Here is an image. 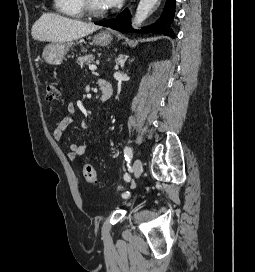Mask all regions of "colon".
Masks as SVG:
<instances>
[{"instance_id":"1","label":"colon","mask_w":255,"mask_h":272,"mask_svg":"<svg viewBox=\"0 0 255 272\" xmlns=\"http://www.w3.org/2000/svg\"><path fill=\"white\" fill-rule=\"evenodd\" d=\"M45 98L49 101H54L59 98V91L55 84L51 82L45 83ZM83 175L85 180L90 184H96L98 181L96 171L89 161L83 164Z\"/></svg>"}]
</instances>
